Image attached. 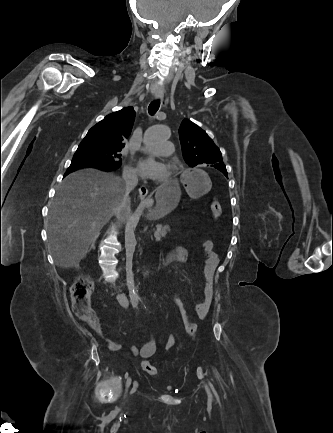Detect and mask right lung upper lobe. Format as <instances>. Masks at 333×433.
Listing matches in <instances>:
<instances>
[{
	"label": "right lung upper lobe",
	"instance_id": "cb5924a9",
	"mask_svg": "<svg viewBox=\"0 0 333 433\" xmlns=\"http://www.w3.org/2000/svg\"><path fill=\"white\" fill-rule=\"evenodd\" d=\"M134 119L135 111L131 106L113 112L93 126L83 141H91L102 148L122 149L124 140L131 133Z\"/></svg>",
	"mask_w": 333,
	"mask_h": 433
}]
</instances>
